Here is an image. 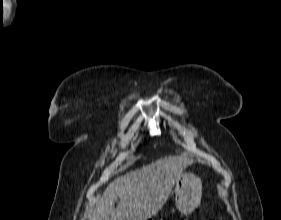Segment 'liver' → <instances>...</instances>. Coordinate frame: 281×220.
<instances>
[{"instance_id": "liver-1", "label": "liver", "mask_w": 281, "mask_h": 220, "mask_svg": "<svg viewBox=\"0 0 281 220\" xmlns=\"http://www.w3.org/2000/svg\"><path fill=\"white\" fill-rule=\"evenodd\" d=\"M192 162L185 155L164 157L116 178L90 220H148L164 206L176 180ZM117 197L120 202L115 208Z\"/></svg>"}]
</instances>
